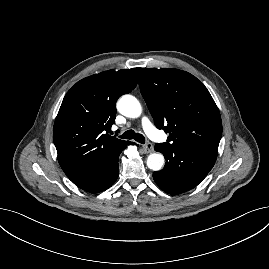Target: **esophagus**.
<instances>
[{
  "mask_svg": "<svg viewBox=\"0 0 269 269\" xmlns=\"http://www.w3.org/2000/svg\"><path fill=\"white\" fill-rule=\"evenodd\" d=\"M145 153H151L153 151V145L151 143H146L142 146Z\"/></svg>",
  "mask_w": 269,
  "mask_h": 269,
  "instance_id": "obj_1",
  "label": "esophagus"
}]
</instances>
